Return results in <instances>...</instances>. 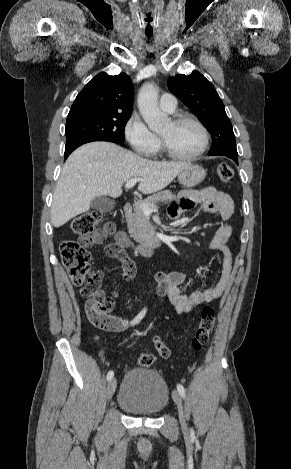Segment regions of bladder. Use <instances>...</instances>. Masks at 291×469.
I'll list each match as a JSON object with an SVG mask.
<instances>
[{
	"mask_svg": "<svg viewBox=\"0 0 291 469\" xmlns=\"http://www.w3.org/2000/svg\"><path fill=\"white\" fill-rule=\"evenodd\" d=\"M168 401L169 390L164 379L157 372L140 367L126 373L117 398L120 408L138 416H156Z\"/></svg>",
	"mask_w": 291,
	"mask_h": 469,
	"instance_id": "1",
	"label": "bladder"
}]
</instances>
